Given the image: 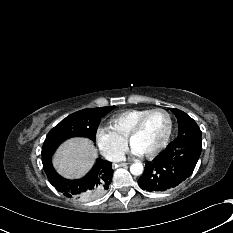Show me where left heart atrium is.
Listing matches in <instances>:
<instances>
[{"instance_id": "39dd6f15", "label": "left heart atrium", "mask_w": 233, "mask_h": 233, "mask_svg": "<svg viewBox=\"0 0 233 233\" xmlns=\"http://www.w3.org/2000/svg\"><path fill=\"white\" fill-rule=\"evenodd\" d=\"M130 152H131L132 155H136V156L141 155V154H140L135 148H133V147L131 148V151H130Z\"/></svg>"}]
</instances>
